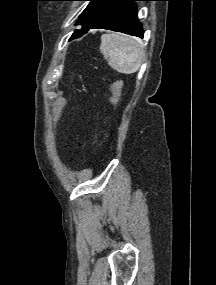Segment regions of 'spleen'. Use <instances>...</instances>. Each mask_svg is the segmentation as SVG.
<instances>
[{
	"mask_svg": "<svg viewBox=\"0 0 216 285\" xmlns=\"http://www.w3.org/2000/svg\"><path fill=\"white\" fill-rule=\"evenodd\" d=\"M100 52L112 69L126 75L139 70L144 56L141 43L119 33L103 34Z\"/></svg>",
	"mask_w": 216,
	"mask_h": 285,
	"instance_id": "spleen-1",
	"label": "spleen"
}]
</instances>
